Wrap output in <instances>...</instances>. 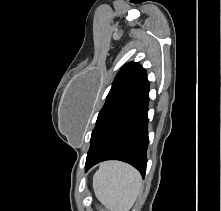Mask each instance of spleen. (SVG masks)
Segmentation results:
<instances>
[{
	"instance_id": "spleen-1",
	"label": "spleen",
	"mask_w": 221,
	"mask_h": 211,
	"mask_svg": "<svg viewBox=\"0 0 221 211\" xmlns=\"http://www.w3.org/2000/svg\"><path fill=\"white\" fill-rule=\"evenodd\" d=\"M93 188L98 200L110 211H129L142 190L141 176L128 164L104 162L94 174Z\"/></svg>"
}]
</instances>
